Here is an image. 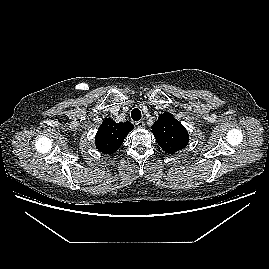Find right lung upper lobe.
<instances>
[{
	"mask_svg": "<svg viewBox=\"0 0 269 269\" xmlns=\"http://www.w3.org/2000/svg\"><path fill=\"white\" fill-rule=\"evenodd\" d=\"M133 128L134 126L130 122L116 123L112 119L106 118L95 137L97 149L105 154H113Z\"/></svg>",
	"mask_w": 269,
	"mask_h": 269,
	"instance_id": "cb5924a9",
	"label": "right lung upper lobe"
}]
</instances>
